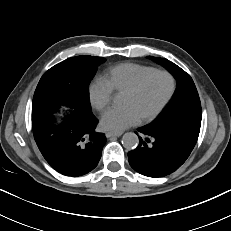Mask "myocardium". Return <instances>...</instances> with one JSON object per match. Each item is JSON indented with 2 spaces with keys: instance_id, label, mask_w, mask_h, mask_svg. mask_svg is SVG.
<instances>
[{
  "instance_id": "obj_1",
  "label": "myocardium",
  "mask_w": 231,
  "mask_h": 231,
  "mask_svg": "<svg viewBox=\"0 0 231 231\" xmlns=\"http://www.w3.org/2000/svg\"><path fill=\"white\" fill-rule=\"evenodd\" d=\"M156 74L166 75L171 81V88H170L168 95L164 99V101L153 112L140 118L141 122H149L153 120L154 118H156L164 110V108L168 105V103L171 101L176 91V80L174 76L167 70L155 69L145 74L141 78H139L133 85H131L128 89L124 91V94H133L137 92L150 77Z\"/></svg>"
}]
</instances>
